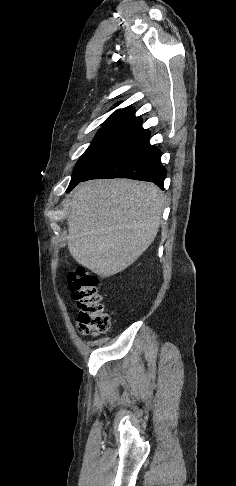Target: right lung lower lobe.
<instances>
[{
	"instance_id": "right-lung-lower-lobe-1",
	"label": "right lung lower lobe",
	"mask_w": 236,
	"mask_h": 486,
	"mask_svg": "<svg viewBox=\"0 0 236 486\" xmlns=\"http://www.w3.org/2000/svg\"><path fill=\"white\" fill-rule=\"evenodd\" d=\"M149 130L140 131L124 146L95 167L82 181L100 178H129L149 181L163 189L166 169L160 150L150 145Z\"/></svg>"
}]
</instances>
